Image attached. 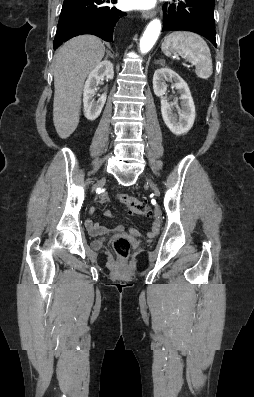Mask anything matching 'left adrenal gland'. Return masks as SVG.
<instances>
[{
	"label": "left adrenal gland",
	"instance_id": "a2214340",
	"mask_svg": "<svg viewBox=\"0 0 254 397\" xmlns=\"http://www.w3.org/2000/svg\"><path fill=\"white\" fill-rule=\"evenodd\" d=\"M155 64L163 65V64H164V61H163L162 59H160V60H158V61H155Z\"/></svg>",
	"mask_w": 254,
	"mask_h": 397
}]
</instances>
